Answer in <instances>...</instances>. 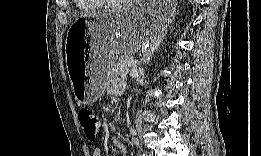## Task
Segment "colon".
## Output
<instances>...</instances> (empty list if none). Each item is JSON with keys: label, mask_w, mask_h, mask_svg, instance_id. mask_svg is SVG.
I'll return each mask as SVG.
<instances>
[{"label": "colon", "mask_w": 261, "mask_h": 156, "mask_svg": "<svg viewBox=\"0 0 261 156\" xmlns=\"http://www.w3.org/2000/svg\"><path fill=\"white\" fill-rule=\"evenodd\" d=\"M78 119L86 138L90 141L95 140L100 129V121L96 113L83 108L78 112Z\"/></svg>", "instance_id": "1"}]
</instances>
